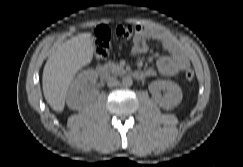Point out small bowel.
I'll return each mask as SVG.
<instances>
[{"mask_svg": "<svg viewBox=\"0 0 243 167\" xmlns=\"http://www.w3.org/2000/svg\"><path fill=\"white\" fill-rule=\"evenodd\" d=\"M156 41L168 52V55L160 57L156 67H149L144 71L147 77L157 73L163 76H174L189 66V56L186 49L173 37L161 29L139 26L131 47L132 55H141L147 51L148 41Z\"/></svg>", "mask_w": 243, "mask_h": 167, "instance_id": "obj_1", "label": "small bowel"}]
</instances>
